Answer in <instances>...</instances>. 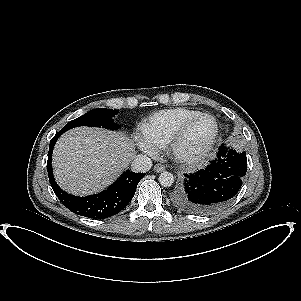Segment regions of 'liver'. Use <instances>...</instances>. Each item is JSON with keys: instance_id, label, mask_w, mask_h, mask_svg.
Masks as SVG:
<instances>
[{"instance_id": "liver-1", "label": "liver", "mask_w": 301, "mask_h": 301, "mask_svg": "<svg viewBox=\"0 0 301 301\" xmlns=\"http://www.w3.org/2000/svg\"><path fill=\"white\" fill-rule=\"evenodd\" d=\"M134 157V143L124 133L78 127L59 138L52 165L63 190L85 196L112 184Z\"/></svg>"}]
</instances>
